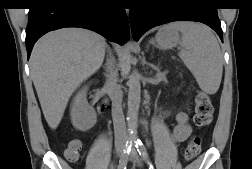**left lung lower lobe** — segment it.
I'll use <instances>...</instances> for the list:
<instances>
[{
  "mask_svg": "<svg viewBox=\"0 0 252 169\" xmlns=\"http://www.w3.org/2000/svg\"><path fill=\"white\" fill-rule=\"evenodd\" d=\"M174 21L204 23L223 41L217 7L213 0H161L151 8L130 9V25L135 41L149 29Z\"/></svg>",
  "mask_w": 252,
  "mask_h": 169,
  "instance_id": "left-lung-lower-lobe-1",
  "label": "left lung lower lobe"
}]
</instances>
